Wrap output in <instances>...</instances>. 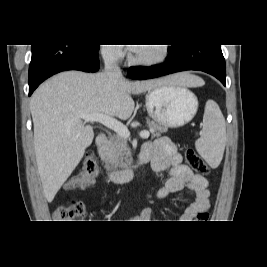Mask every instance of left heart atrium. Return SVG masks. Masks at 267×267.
Here are the masks:
<instances>
[{
  "label": "left heart atrium",
  "instance_id": "left-heart-atrium-1",
  "mask_svg": "<svg viewBox=\"0 0 267 267\" xmlns=\"http://www.w3.org/2000/svg\"><path fill=\"white\" fill-rule=\"evenodd\" d=\"M131 49H132V50H136L137 48H135V47H132Z\"/></svg>",
  "mask_w": 267,
  "mask_h": 267
}]
</instances>
